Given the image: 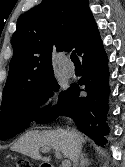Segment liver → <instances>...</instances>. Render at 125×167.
<instances>
[{
    "mask_svg": "<svg viewBox=\"0 0 125 167\" xmlns=\"http://www.w3.org/2000/svg\"><path fill=\"white\" fill-rule=\"evenodd\" d=\"M79 140L81 144L86 141L81 134ZM41 147L53 148L61 152L69 160L75 161L74 138L70 131L64 129L29 131L13 144L12 150L27 155L35 160L49 161V157H42L39 154Z\"/></svg>",
    "mask_w": 125,
    "mask_h": 167,
    "instance_id": "liver-1",
    "label": "liver"
}]
</instances>
